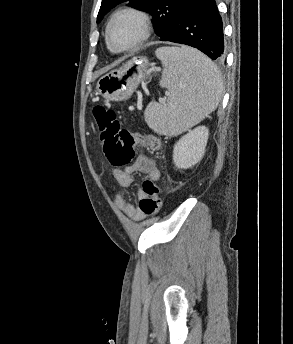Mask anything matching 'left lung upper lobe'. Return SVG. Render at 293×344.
Wrapping results in <instances>:
<instances>
[{"mask_svg":"<svg viewBox=\"0 0 293 344\" xmlns=\"http://www.w3.org/2000/svg\"><path fill=\"white\" fill-rule=\"evenodd\" d=\"M188 0H102L97 23L115 6L128 2V5L150 13L156 34L163 38L175 24Z\"/></svg>","mask_w":293,"mask_h":344,"instance_id":"1","label":"left lung upper lobe"}]
</instances>
